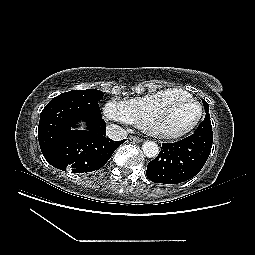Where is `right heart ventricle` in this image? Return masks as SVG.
<instances>
[{
    "label": "right heart ventricle",
    "mask_w": 255,
    "mask_h": 255,
    "mask_svg": "<svg viewBox=\"0 0 255 255\" xmlns=\"http://www.w3.org/2000/svg\"><path fill=\"white\" fill-rule=\"evenodd\" d=\"M181 91L185 90L179 88H167L126 100L124 103L130 113L133 124L136 126H143L146 118L151 112L156 110L166 100L178 95Z\"/></svg>",
    "instance_id": "e07e8e85"
}]
</instances>
